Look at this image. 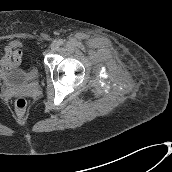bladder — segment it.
Listing matches in <instances>:
<instances>
[{
	"mask_svg": "<svg viewBox=\"0 0 172 172\" xmlns=\"http://www.w3.org/2000/svg\"><path fill=\"white\" fill-rule=\"evenodd\" d=\"M22 82V72L17 68H14L11 73L3 74L0 77V86L3 90H11Z\"/></svg>",
	"mask_w": 172,
	"mask_h": 172,
	"instance_id": "1",
	"label": "bladder"
}]
</instances>
